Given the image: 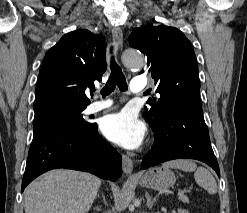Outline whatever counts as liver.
Segmentation results:
<instances>
[{
    "label": "liver",
    "instance_id": "obj_1",
    "mask_svg": "<svg viewBox=\"0 0 247 213\" xmlns=\"http://www.w3.org/2000/svg\"><path fill=\"white\" fill-rule=\"evenodd\" d=\"M101 180L89 173L54 169L25 189V213H87Z\"/></svg>",
    "mask_w": 247,
    "mask_h": 213
}]
</instances>
